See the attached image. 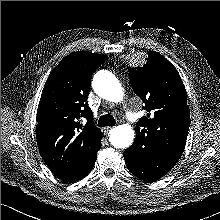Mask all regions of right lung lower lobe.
I'll return each mask as SVG.
<instances>
[{
    "label": "right lung lower lobe",
    "mask_w": 220,
    "mask_h": 220,
    "mask_svg": "<svg viewBox=\"0 0 220 220\" xmlns=\"http://www.w3.org/2000/svg\"><path fill=\"white\" fill-rule=\"evenodd\" d=\"M101 147V146H100ZM95 161V160H94ZM94 165V162L90 165V167L85 171V173L82 175L81 178L85 177L86 175H88V173L91 171L92 167ZM81 178H79L78 180H80ZM77 181V180H76Z\"/></svg>",
    "instance_id": "98d812e1"
}]
</instances>
